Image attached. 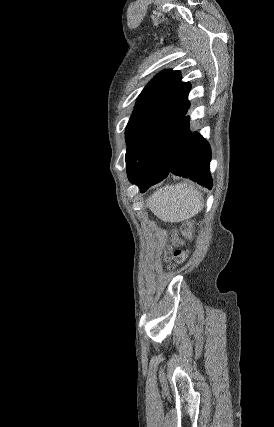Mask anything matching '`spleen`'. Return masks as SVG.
<instances>
[{
  "label": "spleen",
  "instance_id": "obj_1",
  "mask_svg": "<svg viewBox=\"0 0 274 427\" xmlns=\"http://www.w3.org/2000/svg\"><path fill=\"white\" fill-rule=\"evenodd\" d=\"M147 206L163 221H183L202 210V194L193 182H181L154 192Z\"/></svg>",
  "mask_w": 274,
  "mask_h": 427
}]
</instances>
